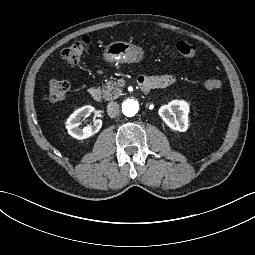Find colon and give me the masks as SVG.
Segmentation results:
<instances>
[{"mask_svg":"<svg viewBox=\"0 0 255 255\" xmlns=\"http://www.w3.org/2000/svg\"><path fill=\"white\" fill-rule=\"evenodd\" d=\"M91 42L89 37H83L82 39L72 43L61 52L62 61L69 65L74 66L78 64ZM176 51L185 57H194L197 49L194 45L180 41L175 45ZM208 90H215L222 86L220 80L210 79L204 84ZM70 84L66 80H51L48 84L49 99L52 102H60L65 99L69 92Z\"/></svg>","mask_w":255,"mask_h":255,"instance_id":"5ec220e1","label":"colon"}]
</instances>
